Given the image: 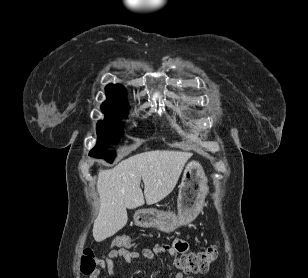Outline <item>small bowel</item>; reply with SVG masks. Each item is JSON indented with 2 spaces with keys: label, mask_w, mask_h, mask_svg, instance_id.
Wrapping results in <instances>:
<instances>
[{
  "label": "small bowel",
  "mask_w": 308,
  "mask_h": 278,
  "mask_svg": "<svg viewBox=\"0 0 308 278\" xmlns=\"http://www.w3.org/2000/svg\"><path fill=\"white\" fill-rule=\"evenodd\" d=\"M189 250V243L187 237H180L175 239L171 243H156L151 248H143L139 251H129L122 247L111 249L107 254L100 258V265L108 272L112 278H116L114 270V260L123 259L127 263H133L140 258L153 260L156 255L168 254L170 256H177L179 254H185ZM100 271L92 276V278H98ZM175 278H192L185 276L183 273L178 272Z\"/></svg>",
  "instance_id": "obj_1"
}]
</instances>
